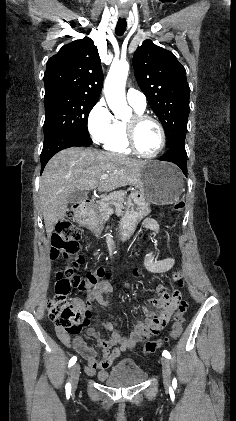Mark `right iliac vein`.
Segmentation results:
<instances>
[{"mask_svg":"<svg viewBox=\"0 0 236 421\" xmlns=\"http://www.w3.org/2000/svg\"><path fill=\"white\" fill-rule=\"evenodd\" d=\"M80 375V368L78 364H75L70 372V381L73 388H76Z\"/></svg>","mask_w":236,"mask_h":421,"instance_id":"1","label":"right iliac vein"}]
</instances>
